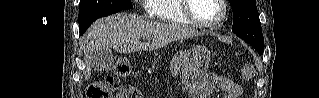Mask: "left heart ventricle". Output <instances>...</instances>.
I'll use <instances>...</instances> for the list:
<instances>
[{"mask_svg":"<svg viewBox=\"0 0 319 98\" xmlns=\"http://www.w3.org/2000/svg\"><path fill=\"white\" fill-rule=\"evenodd\" d=\"M190 9L196 18L204 22H214L222 14V8L217 0H192Z\"/></svg>","mask_w":319,"mask_h":98,"instance_id":"1","label":"left heart ventricle"}]
</instances>
